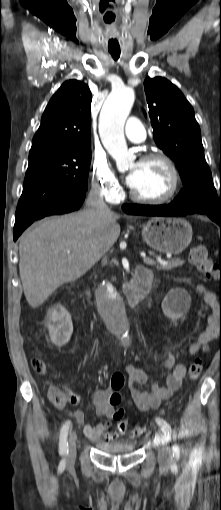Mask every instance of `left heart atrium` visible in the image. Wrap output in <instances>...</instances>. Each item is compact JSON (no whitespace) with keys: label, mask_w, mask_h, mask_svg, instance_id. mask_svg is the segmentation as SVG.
I'll return each mask as SVG.
<instances>
[{"label":"left heart atrium","mask_w":221,"mask_h":510,"mask_svg":"<svg viewBox=\"0 0 221 510\" xmlns=\"http://www.w3.org/2000/svg\"><path fill=\"white\" fill-rule=\"evenodd\" d=\"M136 174H137L136 170H132L126 177V181L130 187L133 185L136 179Z\"/></svg>","instance_id":"1"}]
</instances>
